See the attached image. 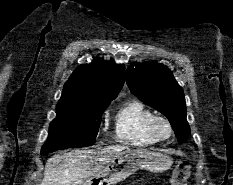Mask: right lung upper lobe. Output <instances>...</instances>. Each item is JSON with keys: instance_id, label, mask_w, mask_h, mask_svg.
I'll list each match as a JSON object with an SVG mask.
<instances>
[{"instance_id": "right-lung-upper-lobe-1", "label": "right lung upper lobe", "mask_w": 233, "mask_h": 185, "mask_svg": "<svg viewBox=\"0 0 233 185\" xmlns=\"http://www.w3.org/2000/svg\"><path fill=\"white\" fill-rule=\"evenodd\" d=\"M124 65L96 58L79 66L65 83L62 101L92 104L116 98L124 84Z\"/></svg>"}]
</instances>
